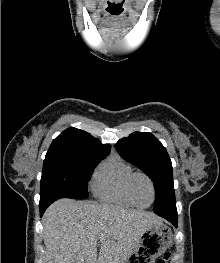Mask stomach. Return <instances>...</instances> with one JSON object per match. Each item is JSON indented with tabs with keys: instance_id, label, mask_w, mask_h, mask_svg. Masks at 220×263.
<instances>
[{
	"instance_id": "0dacf381",
	"label": "stomach",
	"mask_w": 220,
	"mask_h": 263,
	"mask_svg": "<svg viewBox=\"0 0 220 263\" xmlns=\"http://www.w3.org/2000/svg\"><path fill=\"white\" fill-rule=\"evenodd\" d=\"M173 242L171 229L163 222L144 231L123 263H155Z\"/></svg>"
}]
</instances>
